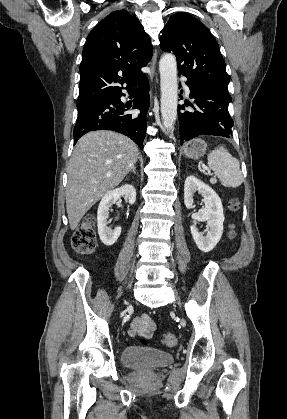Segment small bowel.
I'll use <instances>...</instances> for the list:
<instances>
[{
	"instance_id": "c3829d8e",
	"label": "small bowel",
	"mask_w": 287,
	"mask_h": 419,
	"mask_svg": "<svg viewBox=\"0 0 287 419\" xmlns=\"http://www.w3.org/2000/svg\"><path fill=\"white\" fill-rule=\"evenodd\" d=\"M155 330V323L149 315L143 313L137 316L131 323L130 333L132 335L150 338Z\"/></svg>"
}]
</instances>
